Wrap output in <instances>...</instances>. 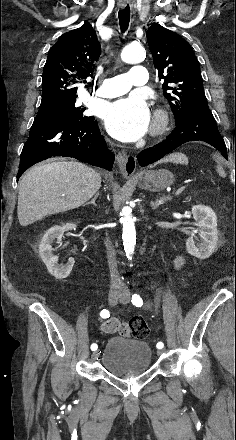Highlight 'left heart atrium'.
I'll use <instances>...</instances> for the list:
<instances>
[{
    "label": "left heart atrium",
    "mask_w": 236,
    "mask_h": 440,
    "mask_svg": "<svg viewBox=\"0 0 236 440\" xmlns=\"http://www.w3.org/2000/svg\"><path fill=\"white\" fill-rule=\"evenodd\" d=\"M103 119L111 136L124 142H132L147 131L150 112L142 96L131 95L107 105Z\"/></svg>",
    "instance_id": "obj_1"
}]
</instances>
